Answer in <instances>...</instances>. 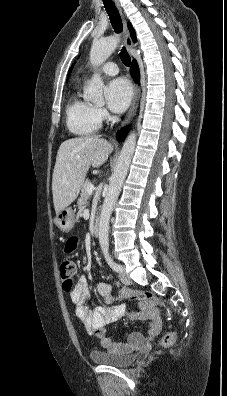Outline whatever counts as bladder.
<instances>
[{"label": "bladder", "instance_id": "obj_1", "mask_svg": "<svg viewBox=\"0 0 227 396\" xmlns=\"http://www.w3.org/2000/svg\"><path fill=\"white\" fill-rule=\"evenodd\" d=\"M137 356L134 353H117L112 351L95 350L90 353L92 362L117 368H126L132 365Z\"/></svg>", "mask_w": 227, "mask_h": 396}]
</instances>
